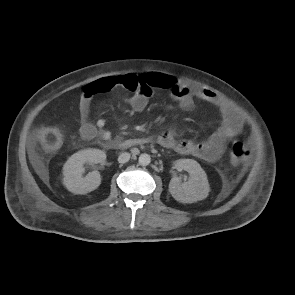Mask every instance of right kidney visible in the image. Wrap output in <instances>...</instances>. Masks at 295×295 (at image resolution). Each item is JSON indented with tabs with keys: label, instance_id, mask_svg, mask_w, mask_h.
I'll list each match as a JSON object with an SVG mask.
<instances>
[{
	"label": "right kidney",
	"instance_id": "ca27d5eb",
	"mask_svg": "<svg viewBox=\"0 0 295 295\" xmlns=\"http://www.w3.org/2000/svg\"><path fill=\"white\" fill-rule=\"evenodd\" d=\"M106 159L105 152L99 149H85L73 154L63 167V185L74 194H87L97 189L101 183L98 171L83 177L85 163H102Z\"/></svg>",
	"mask_w": 295,
	"mask_h": 295
}]
</instances>
